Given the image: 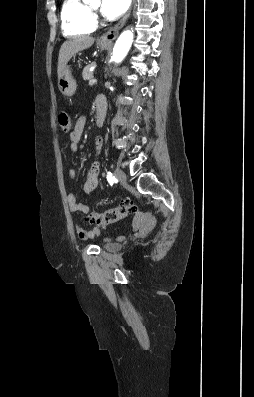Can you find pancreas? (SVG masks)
Returning a JSON list of instances; mask_svg holds the SVG:
<instances>
[{"label":"pancreas","mask_w":254,"mask_h":397,"mask_svg":"<svg viewBox=\"0 0 254 397\" xmlns=\"http://www.w3.org/2000/svg\"><path fill=\"white\" fill-rule=\"evenodd\" d=\"M94 66V63H91L84 67L82 77L84 80H90L93 78V72L90 71L91 67Z\"/></svg>","instance_id":"1"}]
</instances>
